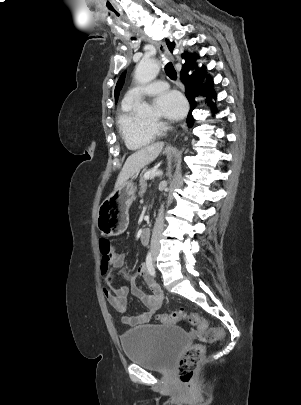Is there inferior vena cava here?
<instances>
[{
  "label": "inferior vena cava",
  "mask_w": 301,
  "mask_h": 405,
  "mask_svg": "<svg viewBox=\"0 0 301 405\" xmlns=\"http://www.w3.org/2000/svg\"><path fill=\"white\" fill-rule=\"evenodd\" d=\"M163 227H164V205L162 204L159 209L158 216L156 218L152 232L150 250L151 253L153 254H157L160 250L159 239L162 234Z\"/></svg>",
  "instance_id": "1"
}]
</instances>
